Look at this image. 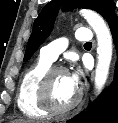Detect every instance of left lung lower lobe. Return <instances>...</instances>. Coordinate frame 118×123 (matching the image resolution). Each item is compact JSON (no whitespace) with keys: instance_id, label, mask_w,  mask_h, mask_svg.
Here are the masks:
<instances>
[{"instance_id":"1","label":"left lung lower lobe","mask_w":118,"mask_h":123,"mask_svg":"<svg viewBox=\"0 0 118 123\" xmlns=\"http://www.w3.org/2000/svg\"><path fill=\"white\" fill-rule=\"evenodd\" d=\"M110 26L118 54V18L113 16ZM67 123H118V59L114 80L110 88L103 92L85 111H82Z\"/></svg>"}]
</instances>
